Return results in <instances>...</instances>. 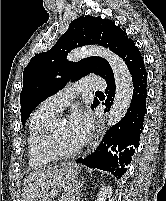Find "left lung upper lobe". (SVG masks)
<instances>
[{
    "label": "left lung upper lobe",
    "instance_id": "1",
    "mask_svg": "<svg viewBox=\"0 0 166 201\" xmlns=\"http://www.w3.org/2000/svg\"><path fill=\"white\" fill-rule=\"evenodd\" d=\"M133 43V40L111 20L92 16H80L73 20L55 46L47 52L35 55L24 69L23 88L20 93L22 124H25L39 103L62 89L68 79L77 80L90 73L105 79L113 74L109 63L101 57L68 62L66 56L71 49L99 44L110 48L124 59ZM98 103L95 99L91 108L96 107Z\"/></svg>",
    "mask_w": 166,
    "mask_h": 201
}]
</instances>
